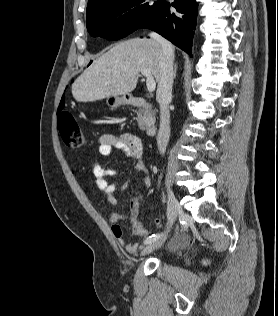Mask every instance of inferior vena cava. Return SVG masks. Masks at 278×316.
<instances>
[{
    "instance_id": "inferior-vena-cava-1",
    "label": "inferior vena cava",
    "mask_w": 278,
    "mask_h": 316,
    "mask_svg": "<svg viewBox=\"0 0 278 316\" xmlns=\"http://www.w3.org/2000/svg\"><path fill=\"white\" fill-rule=\"evenodd\" d=\"M153 40L161 45L160 80L156 98L160 105V127L157 136V145L161 154H164L170 137V112L168 104L172 99L173 61L172 45L155 32L150 34Z\"/></svg>"
}]
</instances>
